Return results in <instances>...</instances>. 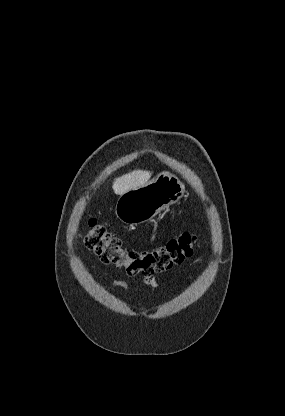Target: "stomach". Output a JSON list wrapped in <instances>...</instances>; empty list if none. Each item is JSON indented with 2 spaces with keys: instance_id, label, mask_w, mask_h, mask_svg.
<instances>
[{
  "instance_id": "0dacf381",
  "label": "stomach",
  "mask_w": 285,
  "mask_h": 416,
  "mask_svg": "<svg viewBox=\"0 0 285 416\" xmlns=\"http://www.w3.org/2000/svg\"><path fill=\"white\" fill-rule=\"evenodd\" d=\"M185 194V186L169 172H161L151 182L122 194L117 200L115 214L124 224H143L162 210L176 204Z\"/></svg>"
}]
</instances>
